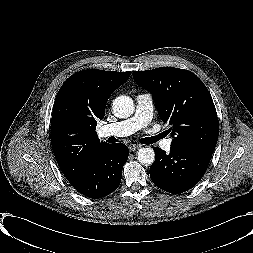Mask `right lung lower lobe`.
I'll list each match as a JSON object with an SVG mask.
<instances>
[{
	"mask_svg": "<svg viewBox=\"0 0 253 253\" xmlns=\"http://www.w3.org/2000/svg\"><path fill=\"white\" fill-rule=\"evenodd\" d=\"M129 150L123 143L107 144L97 151L80 179L71 184L89 198H102L118 188Z\"/></svg>",
	"mask_w": 253,
	"mask_h": 253,
	"instance_id": "1",
	"label": "right lung lower lobe"
}]
</instances>
